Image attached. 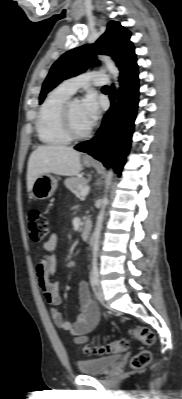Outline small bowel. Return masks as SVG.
<instances>
[{"label":"small bowel","instance_id":"small-bowel-1","mask_svg":"<svg viewBox=\"0 0 182 399\" xmlns=\"http://www.w3.org/2000/svg\"><path fill=\"white\" fill-rule=\"evenodd\" d=\"M57 244V235L52 234L44 243V250L51 252L42 256L36 264V275L38 285L46 301L51 305L50 316L53 323L60 329L69 331L77 342L88 341L89 333L99 324L100 316L98 309L90 296L89 285L82 281L79 284L80 311L74 322L64 320L57 305L61 303L59 283L51 281L57 266V255L53 253Z\"/></svg>","mask_w":182,"mask_h":399}]
</instances>
